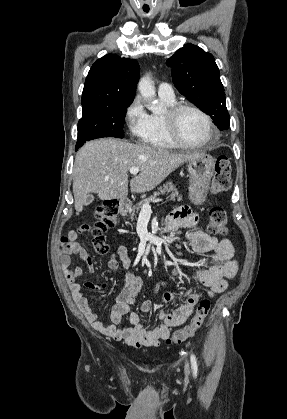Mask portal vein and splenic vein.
I'll use <instances>...</instances> for the list:
<instances>
[{
  "label": "portal vein and splenic vein",
  "instance_id": "obj_1",
  "mask_svg": "<svg viewBox=\"0 0 287 419\" xmlns=\"http://www.w3.org/2000/svg\"><path fill=\"white\" fill-rule=\"evenodd\" d=\"M130 173L132 174V175H136L138 172H139V168H137V167H132V168H130ZM160 201H162L161 199H155V200H153V202H160ZM142 211H148V212H150L151 211V206H150V203H148V202H146L143 206H142Z\"/></svg>",
  "mask_w": 287,
  "mask_h": 419
}]
</instances>
